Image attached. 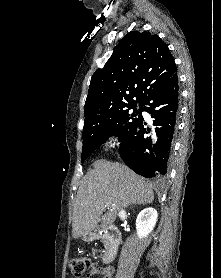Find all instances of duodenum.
Instances as JSON below:
<instances>
[{"label": "duodenum", "instance_id": "obj_1", "mask_svg": "<svg viewBox=\"0 0 221 278\" xmlns=\"http://www.w3.org/2000/svg\"><path fill=\"white\" fill-rule=\"evenodd\" d=\"M103 238L108 242V246L103 255V262L109 264L115 258L121 240L120 232L115 227H105L99 232L88 235V239Z\"/></svg>", "mask_w": 221, "mask_h": 278}]
</instances>
